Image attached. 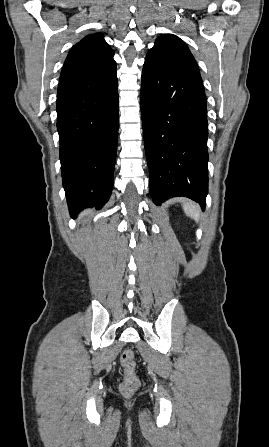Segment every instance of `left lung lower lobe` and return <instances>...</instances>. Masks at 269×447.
Masks as SVG:
<instances>
[{"mask_svg":"<svg viewBox=\"0 0 269 447\" xmlns=\"http://www.w3.org/2000/svg\"><path fill=\"white\" fill-rule=\"evenodd\" d=\"M141 115L149 190L159 205L185 196L205 208L208 123L200 73L149 52L141 79Z\"/></svg>","mask_w":269,"mask_h":447,"instance_id":"obj_1","label":"left lung lower lobe"}]
</instances>
